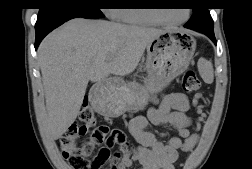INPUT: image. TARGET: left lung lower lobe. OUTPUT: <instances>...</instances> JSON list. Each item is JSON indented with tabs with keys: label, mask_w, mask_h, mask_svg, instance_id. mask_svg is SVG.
I'll return each mask as SVG.
<instances>
[{
	"label": "left lung lower lobe",
	"mask_w": 252,
	"mask_h": 169,
	"mask_svg": "<svg viewBox=\"0 0 252 169\" xmlns=\"http://www.w3.org/2000/svg\"><path fill=\"white\" fill-rule=\"evenodd\" d=\"M184 27H185V25H184ZM201 33H204L205 35H207L215 44H217L215 36H214V32H201Z\"/></svg>",
	"instance_id": "1"
}]
</instances>
